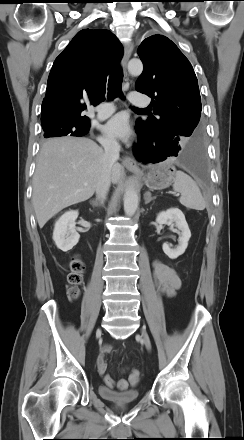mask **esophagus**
Returning a JSON list of instances; mask_svg holds the SVG:
<instances>
[{"label":"esophagus","instance_id":"34e87169","mask_svg":"<svg viewBox=\"0 0 244 440\" xmlns=\"http://www.w3.org/2000/svg\"><path fill=\"white\" fill-rule=\"evenodd\" d=\"M133 48H134V45H133V42H131V41L125 43V45H124V55L122 58V68H123L124 74L127 73V64H128L129 58L132 54ZM122 163L125 167H128V168H132V169L139 168L136 161L129 156L123 157Z\"/></svg>","mask_w":244,"mask_h":440}]
</instances>
